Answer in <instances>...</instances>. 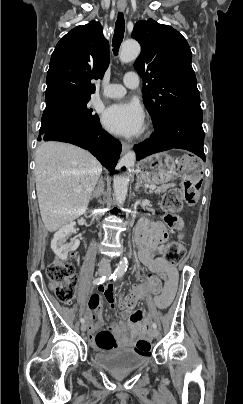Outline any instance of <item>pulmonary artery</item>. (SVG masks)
<instances>
[{
	"label": "pulmonary artery",
	"instance_id": "1",
	"mask_svg": "<svg viewBox=\"0 0 243 404\" xmlns=\"http://www.w3.org/2000/svg\"><path fill=\"white\" fill-rule=\"evenodd\" d=\"M140 84V78L136 73L129 72L123 77L122 84H109L106 86L104 96L119 98L125 94L126 88H136Z\"/></svg>",
	"mask_w": 243,
	"mask_h": 404
}]
</instances>
